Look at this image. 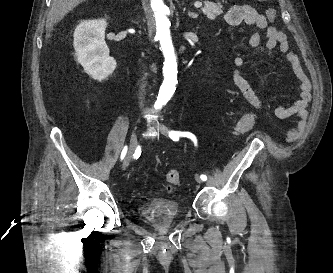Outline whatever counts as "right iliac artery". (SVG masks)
<instances>
[{"instance_id": "obj_1", "label": "right iliac artery", "mask_w": 333, "mask_h": 273, "mask_svg": "<svg viewBox=\"0 0 333 273\" xmlns=\"http://www.w3.org/2000/svg\"><path fill=\"white\" fill-rule=\"evenodd\" d=\"M127 153V146H125L122 150V153H121V160L124 159L125 155Z\"/></svg>"}]
</instances>
